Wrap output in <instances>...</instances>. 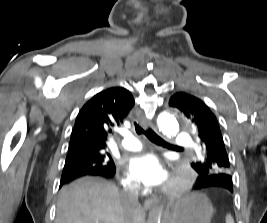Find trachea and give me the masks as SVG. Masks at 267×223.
<instances>
[{
	"label": "trachea",
	"instance_id": "trachea-1",
	"mask_svg": "<svg viewBox=\"0 0 267 223\" xmlns=\"http://www.w3.org/2000/svg\"><path fill=\"white\" fill-rule=\"evenodd\" d=\"M135 126V131L138 135L144 134L151 142L157 144V145H162V146H167V147H176L174 145H171L164 141L161 137H159L152 129H143L138 123L134 122Z\"/></svg>",
	"mask_w": 267,
	"mask_h": 223
}]
</instances>
